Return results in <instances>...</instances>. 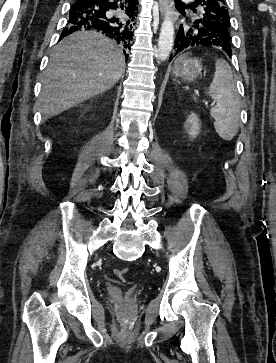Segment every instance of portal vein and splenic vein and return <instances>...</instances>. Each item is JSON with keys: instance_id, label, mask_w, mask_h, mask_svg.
Returning a JSON list of instances; mask_svg holds the SVG:
<instances>
[{"instance_id": "portal-vein-and-splenic-vein-1", "label": "portal vein and splenic vein", "mask_w": 276, "mask_h": 363, "mask_svg": "<svg viewBox=\"0 0 276 363\" xmlns=\"http://www.w3.org/2000/svg\"><path fill=\"white\" fill-rule=\"evenodd\" d=\"M205 104H208V102H205ZM211 105H213V104H211Z\"/></svg>"}]
</instances>
